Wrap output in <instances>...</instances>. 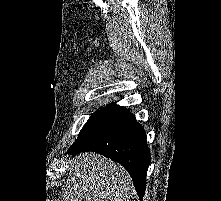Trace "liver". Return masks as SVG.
<instances>
[{"instance_id":"liver-1","label":"liver","mask_w":221,"mask_h":201,"mask_svg":"<svg viewBox=\"0 0 221 201\" xmlns=\"http://www.w3.org/2000/svg\"><path fill=\"white\" fill-rule=\"evenodd\" d=\"M60 201H129L132 182L119 164L96 153L72 158Z\"/></svg>"}]
</instances>
